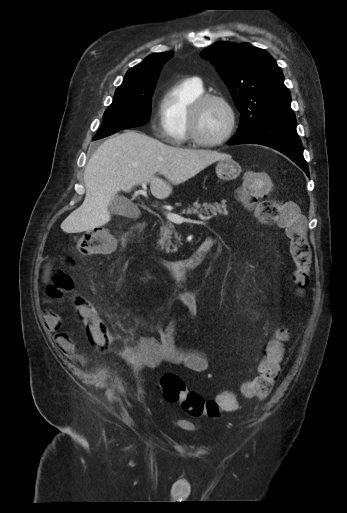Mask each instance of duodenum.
<instances>
[{"mask_svg": "<svg viewBox=\"0 0 347 513\" xmlns=\"http://www.w3.org/2000/svg\"><path fill=\"white\" fill-rule=\"evenodd\" d=\"M144 228L145 223H138L131 232L138 241H142L143 239L142 234ZM214 241L215 239L213 237H207L201 242L197 250L189 258L180 261L169 262L157 259L153 254L150 255L153 258H156L159 263L167 269L171 280L174 282H184L192 274L193 270L205 259Z\"/></svg>", "mask_w": 347, "mask_h": 513, "instance_id": "410a0bca", "label": "duodenum"}]
</instances>
